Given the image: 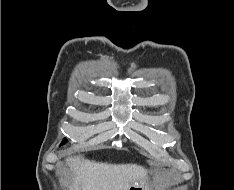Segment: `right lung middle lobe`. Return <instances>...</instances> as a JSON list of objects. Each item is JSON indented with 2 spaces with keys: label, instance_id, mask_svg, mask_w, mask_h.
Masks as SVG:
<instances>
[{
  "label": "right lung middle lobe",
  "instance_id": "right-lung-middle-lobe-1",
  "mask_svg": "<svg viewBox=\"0 0 234 190\" xmlns=\"http://www.w3.org/2000/svg\"><path fill=\"white\" fill-rule=\"evenodd\" d=\"M66 142H67V139H64V140L62 141L61 145H63V144L66 143Z\"/></svg>",
  "mask_w": 234,
  "mask_h": 190
}]
</instances>
